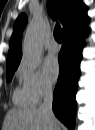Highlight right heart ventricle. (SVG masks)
Returning a JSON list of instances; mask_svg holds the SVG:
<instances>
[{
  "label": "right heart ventricle",
  "mask_w": 95,
  "mask_h": 130,
  "mask_svg": "<svg viewBox=\"0 0 95 130\" xmlns=\"http://www.w3.org/2000/svg\"><path fill=\"white\" fill-rule=\"evenodd\" d=\"M13 101L16 105L21 107H28L33 104L23 87H18L15 89L13 94Z\"/></svg>",
  "instance_id": "e07e8e85"
}]
</instances>
